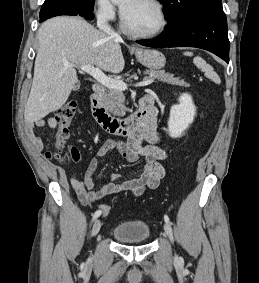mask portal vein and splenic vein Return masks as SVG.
<instances>
[{
	"label": "portal vein and splenic vein",
	"mask_w": 259,
	"mask_h": 283,
	"mask_svg": "<svg viewBox=\"0 0 259 283\" xmlns=\"http://www.w3.org/2000/svg\"><path fill=\"white\" fill-rule=\"evenodd\" d=\"M66 67H76V65H66ZM79 68L90 74L94 79H96L100 84L107 88L111 89H118L121 91H125L127 89V84L124 83L122 80L112 79L107 77L98 67H93L89 65H81ZM154 82L152 78H145L143 81L135 84L136 87H142L149 85Z\"/></svg>",
	"instance_id": "18ae733b"
}]
</instances>
